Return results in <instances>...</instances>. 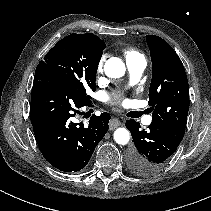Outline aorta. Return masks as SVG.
I'll return each mask as SVG.
<instances>
[{
  "mask_svg": "<svg viewBox=\"0 0 211 211\" xmlns=\"http://www.w3.org/2000/svg\"><path fill=\"white\" fill-rule=\"evenodd\" d=\"M105 74L109 78H120L125 74L126 67L124 62L117 58H109L104 65ZM130 133L126 128H118L114 132V140L119 145H125L129 142Z\"/></svg>",
  "mask_w": 211,
  "mask_h": 211,
  "instance_id": "obj_1",
  "label": "aorta"
}]
</instances>
